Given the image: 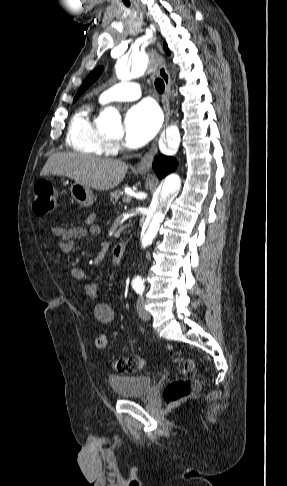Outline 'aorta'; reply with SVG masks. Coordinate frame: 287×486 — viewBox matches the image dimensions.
<instances>
[{
    "label": "aorta",
    "instance_id": "762f6f07",
    "mask_svg": "<svg viewBox=\"0 0 287 486\" xmlns=\"http://www.w3.org/2000/svg\"><path fill=\"white\" fill-rule=\"evenodd\" d=\"M149 63V57L144 56L142 59L134 61L130 69V65L127 64L125 60H118L115 67L116 74L119 78L131 79L143 73L147 69ZM97 123L103 128H120L121 117L116 109L106 108L100 113ZM180 141L181 137L178 126L176 124H171L166 129V138L164 139L163 146L170 151H177ZM177 190L178 185L173 179H166L160 186L158 197L152 202L141 230L140 241L143 247L149 246L156 237L160 225L164 220L169 202L174 197ZM143 284L144 281L140 277L134 278L133 285L135 287L143 286Z\"/></svg>",
    "mask_w": 287,
    "mask_h": 486
}]
</instances>
